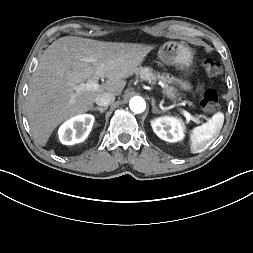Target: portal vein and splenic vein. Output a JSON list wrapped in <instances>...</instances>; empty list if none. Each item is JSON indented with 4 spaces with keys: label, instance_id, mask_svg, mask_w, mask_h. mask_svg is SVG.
<instances>
[{
    "label": "portal vein and splenic vein",
    "instance_id": "obj_1",
    "mask_svg": "<svg viewBox=\"0 0 253 253\" xmlns=\"http://www.w3.org/2000/svg\"><path fill=\"white\" fill-rule=\"evenodd\" d=\"M99 89H100V85L98 84L96 79H91L87 83L79 84L74 87L76 94H79V93L85 92V91H97ZM181 112L187 121L193 120L194 122L198 123V120L193 118L191 116V114L188 113L186 110L181 109ZM206 120H208V119H206Z\"/></svg>",
    "mask_w": 253,
    "mask_h": 253
}]
</instances>
